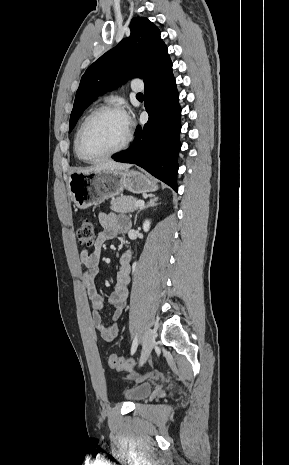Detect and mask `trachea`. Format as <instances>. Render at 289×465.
Listing matches in <instances>:
<instances>
[{
    "label": "trachea",
    "mask_w": 289,
    "mask_h": 465,
    "mask_svg": "<svg viewBox=\"0 0 289 465\" xmlns=\"http://www.w3.org/2000/svg\"><path fill=\"white\" fill-rule=\"evenodd\" d=\"M137 97H143V94H142V93H138V94H137Z\"/></svg>",
    "instance_id": "trachea-1"
}]
</instances>
